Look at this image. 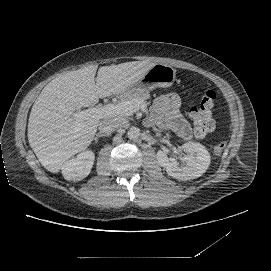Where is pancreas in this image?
<instances>
[{"label": "pancreas", "instance_id": "1", "mask_svg": "<svg viewBox=\"0 0 271 271\" xmlns=\"http://www.w3.org/2000/svg\"><path fill=\"white\" fill-rule=\"evenodd\" d=\"M150 98V94L147 92L137 91L133 94H125L121 97V101H131V100H143L146 101Z\"/></svg>", "mask_w": 271, "mask_h": 271}]
</instances>
